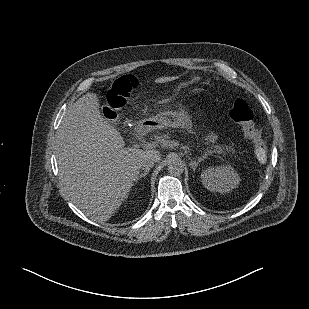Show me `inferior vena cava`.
I'll return each mask as SVG.
<instances>
[{
    "mask_svg": "<svg viewBox=\"0 0 309 309\" xmlns=\"http://www.w3.org/2000/svg\"><path fill=\"white\" fill-rule=\"evenodd\" d=\"M155 164L154 159H146L144 161H142L141 165H140V169L146 171H149Z\"/></svg>",
    "mask_w": 309,
    "mask_h": 309,
    "instance_id": "602c4592",
    "label": "inferior vena cava"
}]
</instances>
